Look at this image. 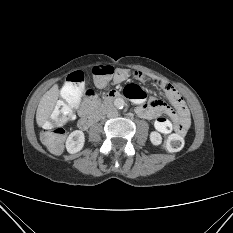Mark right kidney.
I'll use <instances>...</instances> for the list:
<instances>
[{"label": "right kidney", "mask_w": 233, "mask_h": 233, "mask_svg": "<svg viewBox=\"0 0 233 233\" xmlns=\"http://www.w3.org/2000/svg\"><path fill=\"white\" fill-rule=\"evenodd\" d=\"M84 142V133L80 130H75L70 133L66 140V149L71 154L77 153L83 148Z\"/></svg>", "instance_id": "right-kidney-1"}]
</instances>
